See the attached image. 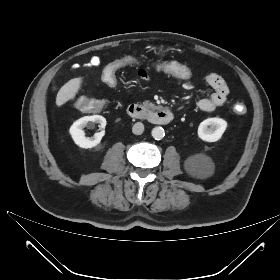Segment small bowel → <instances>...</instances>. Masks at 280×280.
Masks as SVG:
<instances>
[{
  "mask_svg": "<svg viewBox=\"0 0 280 280\" xmlns=\"http://www.w3.org/2000/svg\"><path fill=\"white\" fill-rule=\"evenodd\" d=\"M99 64V59L94 57L92 58L88 66L97 67L99 66ZM138 76L141 79L145 80L148 78V73L144 68H141L138 71ZM205 81L213 89V93L207 97L201 98L198 101L197 106L201 111L211 112L216 108L222 106L226 102L227 95L229 93V88L226 81L220 75L214 72L206 74ZM183 87L184 89H191L193 87V76L189 78L186 82H183Z\"/></svg>",
  "mask_w": 280,
  "mask_h": 280,
  "instance_id": "small-bowel-1",
  "label": "small bowel"
}]
</instances>
